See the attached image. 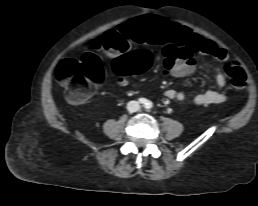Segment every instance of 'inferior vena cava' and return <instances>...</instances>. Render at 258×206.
<instances>
[{"label": "inferior vena cava", "mask_w": 258, "mask_h": 206, "mask_svg": "<svg viewBox=\"0 0 258 206\" xmlns=\"http://www.w3.org/2000/svg\"><path fill=\"white\" fill-rule=\"evenodd\" d=\"M139 103L137 101H130L128 102L127 104V109L130 111V112H136L139 110Z\"/></svg>", "instance_id": "obj_1"}]
</instances>
